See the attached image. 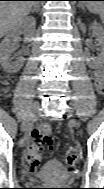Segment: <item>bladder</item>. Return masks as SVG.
Here are the masks:
<instances>
[{
  "label": "bladder",
  "instance_id": "bladder-1",
  "mask_svg": "<svg viewBox=\"0 0 104 189\" xmlns=\"http://www.w3.org/2000/svg\"><path fill=\"white\" fill-rule=\"evenodd\" d=\"M65 173L66 170L60 161L50 160L45 164V166L42 168V170L39 173L29 178V182L37 183L45 180H52V179L60 178Z\"/></svg>",
  "mask_w": 104,
  "mask_h": 189
}]
</instances>
